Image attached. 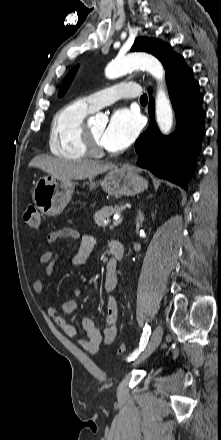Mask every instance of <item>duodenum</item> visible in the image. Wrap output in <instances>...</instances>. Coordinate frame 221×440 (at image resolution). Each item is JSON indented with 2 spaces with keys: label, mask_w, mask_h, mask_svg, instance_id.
Masks as SVG:
<instances>
[{
  "label": "duodenum",
  "mask_w": 221,
  "mask_h": 440,
  "mask_svg": "<svg viewBox=\"0 0 221 440\" xmlns=\"http://www.w3.org/2000/svg\"><path fill=\"white\" fill-rule=\"evenodd\" d=\"M110 253L112 255V263L107 264V268L116 270V264L124 257V246L122 242L114 240L110 244Z\"/></svg>",
  "instance_id": "1"
}]
</instances>
